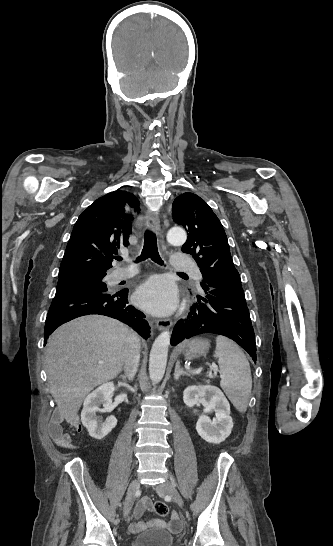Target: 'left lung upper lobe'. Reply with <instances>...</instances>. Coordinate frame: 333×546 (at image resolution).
<instances>
[{"instance_id": "1", "label": "left lung upper lobe", "mask_w": 333, "mask_h": 546, "mask_svg": "<svg viewBox=\"0 0 333 546\" xmlns=\"http://www.w3.org/2000/svg\"><path fill=\"white\" fill-rule=\"evenodd\" d=\"M172 215L188 232L182 252L193 255L201 268V286L242 288L223 226L206 202L196 194L184 193L174 200Z\"/></svg>"}]
</instances>
